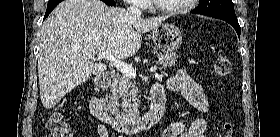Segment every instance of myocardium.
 <instances>
[{
  "label": "myocardium",
  "mask_w": 280,
  "mask_h": 137,
  "mask_svg": "<svg viewBox=\"0 0 280 137\" xmlns=\"http://www.w3.org/2000/svg\"><path fill=\"white\" fill-rule=\"evenodd\" d=\"M151 7L159 12L165 13V14H178L185 12L190 9V5L194 0H184V3L181 6L173 7V8H162L159 6L155 0H149Z\"/></svg>",
  "instance_id": "f54148a6"
}]
</instances>
